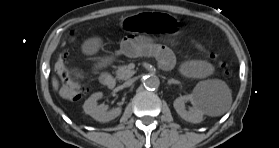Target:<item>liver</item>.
Listing matches in <instances>:
<instances>
[{"instance_id":"1","label":"liver","mask_w":279,"mask_h":148,"mask_svg":"<svg viewBox=\"0 0 279 148\" xmlns=\"http://www.w3.org/2000/svg\"><path fill=\"white\" fill-rule=\"evenodd\" d=\"M52 86H53L54 91H58L59 82L55 76L52 77Z\"/></svg>"}]
</instances>
